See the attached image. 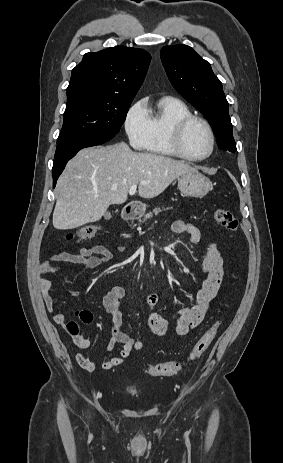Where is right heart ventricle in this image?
<instances>
[{
	"label": "right heart ventricle",
	"instance_id": "e07e8e85",
	"mask_svg": "<svg viewBox=\"0 0 283 463\" xmlns=\"http://www.w3.org/2000/svg\"><path fill=\"white\" fill-rule=\"evenodd\" d=\"M148 136L143 149L149 153L175 157L171 147V133L175 124L192 115L189 107L174 97L161 98L154 108H147Z\"/></svg>",
	"mask_w": 283,
	"mask_h": 463
}]
</instances>
